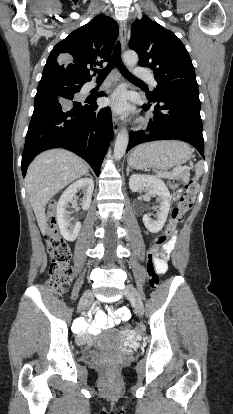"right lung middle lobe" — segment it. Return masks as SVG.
<instances>
[{
	"label": "right lung middle lobe",
	"instance_id": "right-lung-middle-lobe-1",
	"mask_svg": "<svg viewBox=\"0 0 233 414\" xmlns=\"http://www.w3.org/2000/svg\"><path fill=\"white\" fill-rule=\"evenodd\" d=\"M84 83L61 78L41 79L37 88V92L52 91L58 94L73 95L80 91Z\"/></svg>",
	"mask_w": 233,
	"mask_h": 414
}]
</instances>
